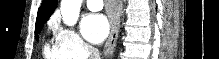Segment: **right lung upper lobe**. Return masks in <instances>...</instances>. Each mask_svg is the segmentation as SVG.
Instances as JSON below:
<instances>
[{"label": "right lung upper lobe", "mask_w": 219, "mask_h": 59, "mask_svg": "<svg viewBox=\"0 0 219 59\" xmlns=\"http://www.w3.org/2000/svg\"><path fill=\"white\" fill-rule=\"evenodd\" d=\"M57 5V0H43L38 10L36 26H43L54 12Z\"/></svg>", "instance_id": "1"}]
</instances>
